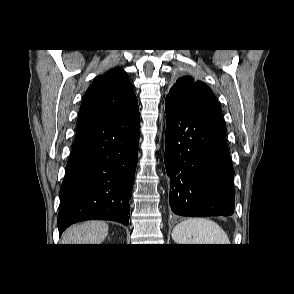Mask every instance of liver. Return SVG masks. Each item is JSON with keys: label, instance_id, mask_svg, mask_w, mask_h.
<instances>
[{"label": "liver", "instance_id": "1", "mask_svg": "<svg viewBox=\"0 0 294 294\" xmlns=\"http://www.w3.org/2000/svg\"><path fill=\"white\" fill-rule=\"evenodd\" d=\"M108 230L104 221H86L69 227L63 234L62 244H101Z\"/></svg>", "mask_w": 294, "mask_h": 294}]
</instances>
